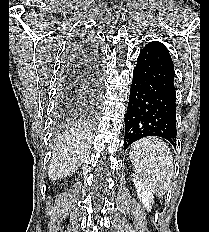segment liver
<instances>
[{"instance_id":"6515ba94","label":"liver","mask_w":209,"mask_h":232,"mask_svg":"<svg viewBox=\"0 0 209 232\" xmlns=\"http://www.w3.org/2000/svg\"><path fill=\"white\" fill-rule=\"evenodd\" d=\"M89 152V139L80 132L70 131L62 135L54 148L48 176L60 180L73 174L84 162Z\"/></svg>"}]
</instances>
